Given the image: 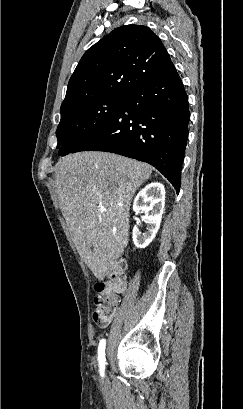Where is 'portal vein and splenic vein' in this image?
<instances>
[{
	"instance_id": "portal-vein-and-splenic-vein-1",
	"label": "portal vein and splenic vein",
	"mask_w": 243,
	"mask_h": 409,
	"mask_svg": "<svg viewBox=\"0 0 243 409\" xmlns=\"http://www.w3.org/2000/svg\"><path fill=\"white\" fill-rule=\"evenodd\" d=\"M105 211V207L104 206H101L100 207V212H104Z\"/></svg>"
}]
</instances>
